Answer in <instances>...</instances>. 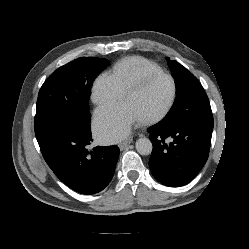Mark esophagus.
I'll use <instances>...</instances> for the list:
<instances>
[{"label": "esophagus", "instance_id": "obj_1", "mask_svg": "<svg viewBox=\"0 0 249 249\" xmlns=\"http://www.w3.org/2000/svg\"><path fill=\"white\" fill-rule=\"evenodd\" d=\"M131 143H132V138H129V139H127V140H125V141L119 143L118 146H119L120 150H124V149L127 148L128 145H130Z\"/></svg>", "mask_w": 249, "mask_h": 249}]
</instances>
